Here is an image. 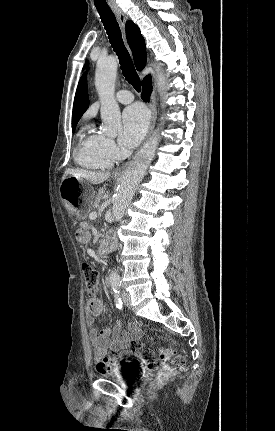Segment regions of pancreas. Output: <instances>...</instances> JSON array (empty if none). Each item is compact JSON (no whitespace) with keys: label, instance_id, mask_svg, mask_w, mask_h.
<instances>
[{"label":"pancreas","instance_id":"cf45deb5","mask_svg":"<svg viewBox=\"0 0 275 431\" xmlns=\"http://www.w3.org/2000/svg\"><path fill=\"white\" fill-rule=\"evenodd\" d=\"M103 193H104L103 189H100L98 191L97 196H96L94 203H93L94 208L99 204L100 200L102 199Z\"/></svg>","mask_w":275,"mask_h":431}]
</instances>
